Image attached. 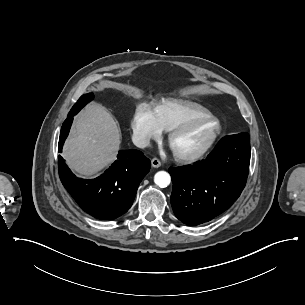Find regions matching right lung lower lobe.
<instances>
[{
  "label": "right lung lower lobe",
  "instance_id": "98d812e1",
  "mask_svg": "<svg viewBox=\"0 0 305 305\" xmlns=\"http://www.w3.org/2000/svg\"><path fill=\"white\" fill-rule=\"evenodd\" d=\"M78 112L77 108L72 107L62 125L58 144L60 153L69 133L73 116ZM117 158L118 160L102 175L88 180L77 178L65 164L63 158L58 156V169L62 184L85 212L100 220H112L128 211L141 180L151 167L150 160L138 150H121Z\"/></svg>",
  "mask_w": 305,
  "mask_h": 305
}]
</instances>
